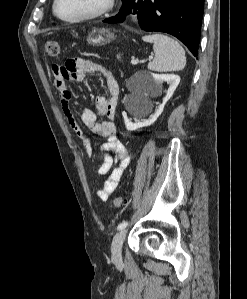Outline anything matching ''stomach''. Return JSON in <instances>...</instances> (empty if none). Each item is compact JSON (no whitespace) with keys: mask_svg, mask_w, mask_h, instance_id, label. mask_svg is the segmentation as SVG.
I'll return each instance as SVG.
<instances>
[{"mask_svg":"<svg viewBox=\"0 0 247 299\" xmlns=\"http://www.w3.org/2000/svg\"><path fill=\"white\" fill-rule=\"evenodd\" d=\"M115 39L114 31L111 29H93L87 38L88 43L93 46H103Z\"/></svg>","mask_w":247,"mask_h":299,"instance_id":"obj_1","label":"stomach"}]
</instances>
